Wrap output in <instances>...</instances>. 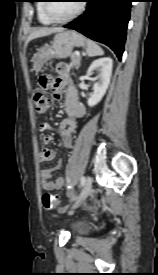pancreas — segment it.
<instances>
[{"label":"pancreas","instance_id":"pancreas-1","mask_svg":"<svg viewBox=\"0 0 158 275\" xmlns=\"http://www.w3.org/2000/svg\"><path fill=\"white\" fill-rule=\"evenodd\" d=\"M81 57L77 56L75 53L71 54V65L75 69H78L80 66Z\"/></svg>","mask_w":158,"mask_h":275}]
</instances>
